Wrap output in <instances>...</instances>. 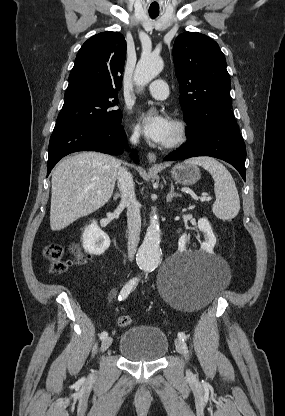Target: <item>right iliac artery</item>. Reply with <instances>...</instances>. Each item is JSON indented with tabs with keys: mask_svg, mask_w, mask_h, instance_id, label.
Wrapping results in <instances>:
<instances>
[{
	"mask_svg": "<svg viewBox=\"0 0 285 416\" xmlns=\"http://www.w3.org/2000/svg\"><path fill=\"white\" fill-rule=\"evenodd\" d=\"M138 278H133L129 280V282L122 288L120 295L118 297L119 301L124 300L127 298V296L133 291V289L136 288L138 284ZM108 336V333L106 331L101 332L100 339H104Z\"/></svg>",
	"mask_w": 285,
	"mask_h": 416,
	"instance_id": "right-iliac-artery-1",
	"label": "right iliac artery"
}]
</instances>
